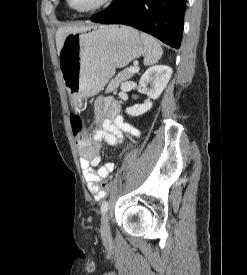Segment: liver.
<instances>
[{
    "label": "liver",
    "instance_id": "obj_1",
    "mask_svg": "<svg viewBox=\"0 0 247 275\" xmlns=\"http://www.w3.org/2000/svg\"><path fill=\"white\" fill-rule=\"evenodd\" d=\"M91 27H85V26H81V27H60L57 32H56V46H57V53L59 55L60 50L62 48L63 45V41L65 39V37L69 34L72 33H78V32H84L89 30Z\"/></svg>",
    "mask_w": 247,
    "mask_h": 275
}]
</instances>
